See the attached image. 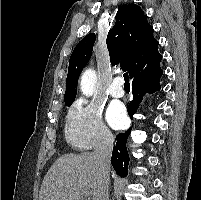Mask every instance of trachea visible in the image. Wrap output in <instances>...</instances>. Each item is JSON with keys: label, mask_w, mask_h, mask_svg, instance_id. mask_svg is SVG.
Returning a JSON list of instances; mask_svg holds the SVG:
<instances>
[{"label": "trachea", "mask_w": 201, "mask_h": 200, "mask_svg": "<svg viewBox=\"0 0 201 200\" xmlns=\"http://www.w3.org/2000/svg\"><path fill=\"white\" fill-rule=\"evenodd\" d=\"M123 77H124V81H125L124 86H129L130 83H129V75H128V73H124Z\"/></svg>", "instance_id": "obj_1"}]
</instances>
